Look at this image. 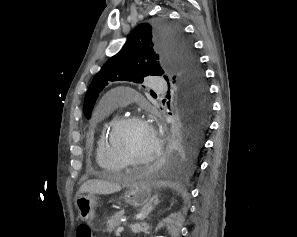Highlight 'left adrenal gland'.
I'll list each match as a JSON object with an SVG mask.
<instances>
[{
  "label": "left adrenal gland",
  "mask_w": 297,
  "mask_h": 237,
  "mask_svg": "<svg viewBox=\"0 0 297 237\" xmlns=\"http://www.w3.org/2000/svg\"><path fill=\"white\" fill-rule=\"evenodd\" d=\"M153 199H155L154 202H153ZM153 199H152V201L150 202L149 205H146L141 209V211H140V220H144L145 218H147L149 213L154 209V206L152 205V202L154 203V205H158L159 200H158L157 196H155Z\"/></svg>",
  "instance_id": "1"
}]
</instances>
